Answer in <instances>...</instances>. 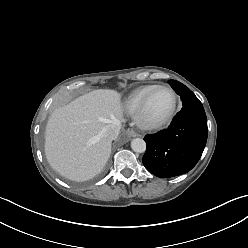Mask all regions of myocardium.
I'll return each instance as SVG.
<instances>
[{
    "label": "myocardium",
    "mask_w": 248,
    "mask_h": 248,
    "mask_svg": "<svg viewBox=\"0 0 248 248\" xmlns=\"http://www.w3.org/2000/svg\"><path fill=\"white\" fill-rule=\"evenodd\" d=\"M157 89H164L171 94L172 105L164 116L158 119H149L146 115L147 104L151 94ZM176 109H177V96L175 92L170 87L164 85H156L150 89V91L145 95L144 99L142 100L140 107L138 108L135 115L136 123L141 129L144 130L161 129L164 126H166L168 123H170V121L173 119L175 115Z\"/></svg>",
    "instance_id": "obj_1"
}]
</instances>
